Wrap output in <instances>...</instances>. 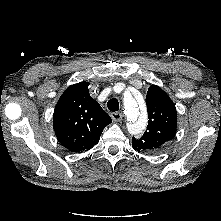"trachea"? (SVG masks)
I'll return each mask as SVG.
<instances>
[{"label": "trachea", "mask_w": 221, "mask_h": 221, "mask_svg": "<svg viewBox=\"0 0 221 221\" xmlns=\"http://www.w3.org/2000/svg\"><path fill=\"white\" fill-rule=\"evenodd\" d=\"M107 107L110 111L116 112L119 110V102L116 98H112L108 101Z\"/></svg>", "instance_id": "3493384b"}]
</instances>
